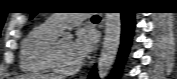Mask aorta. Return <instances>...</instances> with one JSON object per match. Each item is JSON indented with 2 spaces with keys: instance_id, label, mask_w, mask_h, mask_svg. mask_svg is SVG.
I'll return each instance as SVG.
<instances>
[{
  "instance_id": "aorta-1",
  "label": "aorta",
  "mask_w": 177,
  "mask_h": 79,
  "mask_svg": "<svg viewBox=\"0 0 177 79\" xmlns=\"http://www.w3.org/2000/svg\"><path fill=\"white\" fill-rule=\"evenodd\" d=\"M105 36L102 50L98 60V76L101 79L107 77L115 60L121 38V14H105Z\"/></svg>"
}]
</instances>
